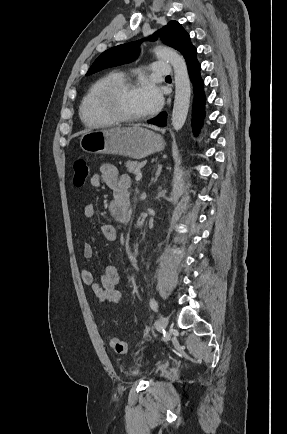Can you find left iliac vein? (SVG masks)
<instances>
[{
  "label": "left iliac vein",
  "instance_id": "1",
  "mask_svg": "<svg viewBox=\"0 0 287 434\" xmlns=\"http://www.w3.org/2000/svg\"><path fill=\"white\" fill-rule=\"evenodd\" d=\"M169 318L167 315H162L159 322V330L162 331L168 326Z\"/></svg>",
  "mask_w": 287,
  "mask_h": 434
}]
</instances>
